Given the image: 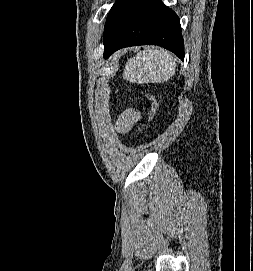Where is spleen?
Masks as SVG:
<instances>
[{
    "label": "spleen",
    "instance_id": "3e777b00",
    "mask_svg": "<svg viewBox=\"0 0 253 271\" xmlns=\"http://www.w3.org/2000/svg\"><path fill=\"white\" fill-rule=\"evenodd\" d=\"M176 59L164 49H146L125 65L123 79L136 83H164L175 73Z\"/></svg>",
    "mask_w": 253,
    "mask_h": 271
}]
</instances>
